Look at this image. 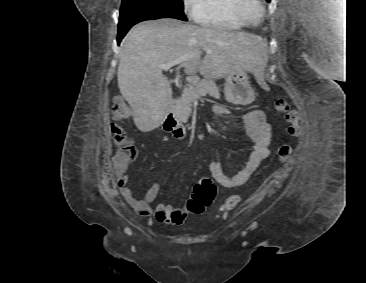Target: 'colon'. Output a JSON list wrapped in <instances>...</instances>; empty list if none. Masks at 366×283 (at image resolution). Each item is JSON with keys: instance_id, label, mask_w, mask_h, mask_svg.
<instances>
[{"instance_id": "colon-1", "label": "colon", "mask_w": 366, "mask_h": 283, "mask_svg": "<svg viewBox=\"0 0 366 283\" xmlns=\"http://www.w3.org/2000/svg\"><path fill=\"white\" fill-rule=\"evenodd\" d=\"M275 111L282 115L289 124L287 134L291 137L299 133V117L296 110L292 109L289 103L283 99L275 103ZM129 114V109L123 100H115L111 108V116L114 123L111 126V135L114 144L118 147V152L114 156V162L122 167H127L135 158L137 149L128 137L125 129L116 122L125 119ZM292 153V147L288 143H283L278 148V158L280 162H286ZM216 194L215 184L207 177L201 178L194 186L191 197L188 199L187 211L192 214H200L213 201ZM240 196L235 194L229 196L220 206L222 212L234 209L240 202Z\"/></svg>"}]
</instances>
